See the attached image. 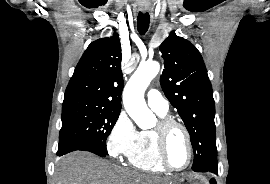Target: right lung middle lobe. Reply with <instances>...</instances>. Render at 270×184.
I'll return each instance as SVG.
<instances>
[{
    "label": "right lung middle lobe",
    "mask_w": 270,
    "mask_h": 184,
    "mask_svg": "<svg viewBox=\"0 0 270 184\" xmlns=\"http://www.w3.org/2000/svg\"><path fill=\"white\" fill-rule=\"evenodd\" d=\"M120 110L84 100H64L59 149L73 144L93 146L108 155L106 139L114 127Z\"/></svg>",
    "instance_id": "right-lung-middle-lobe-1"
}]
</instances>
